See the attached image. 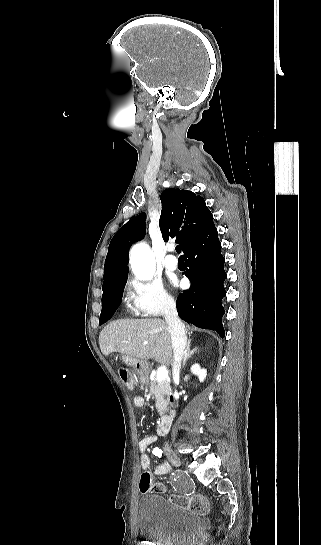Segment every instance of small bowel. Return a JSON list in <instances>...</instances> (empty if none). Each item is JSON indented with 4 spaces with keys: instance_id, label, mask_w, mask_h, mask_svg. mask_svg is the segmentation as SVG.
Listing matches in <instances>:
<instances>
[{
    "instance_id": "small-bowel-1",
    "label": "small bowel",
    "mask_w": 321,
    "mask_h": 545,
    "mask_svg": "<svg viewBox=\"0 0 321 545\" xmlns=\"http://www.w3.org/2000/svg\"><path fill=\"white\" fill-rule=\"evenodd\" d=\"M133 403L137 407H142L144 406V398L142 396L137 395L133 398ZM156 440H157L156 436L149 435L143 438L142 440H140L138 443V449L140 454L139 459H140L141 467L144 471H149L152 474V476L164 475L170 471V467L166 464L159 465L153 470L150 469L151 462L147 454V450L150 445L156 442Z\"/></svg>"
}]
</instances>
